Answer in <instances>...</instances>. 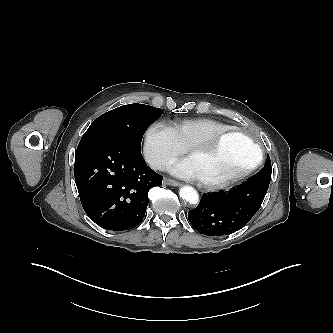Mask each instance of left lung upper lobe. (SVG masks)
Instances as JSON below:
<instances>
[{
  "label": "left lung upper lobe",
  "instance_id": "left-lung-upper-lobe-1",
  "mask_svg": "<svg viewBox=\"0 0 333 333\" xmlns=\"http://www.w3.org/2000/svg\"><path fill=\"white\" fill-rule=\"evenodd\" d=\"M271 173H272V166H271V161L270 157L267 156V161L264 165V167L254 176H252L249 180H254L262 177H269L271 178Z\"/></svg>",
  "mask_w": 333,
  "mask_h": 333
}]
</instances>
